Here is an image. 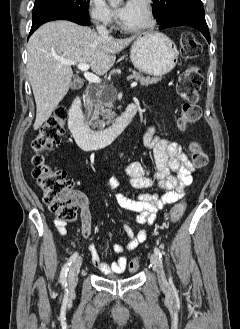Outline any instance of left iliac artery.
<instances>
[{"label": "left iliac artery", "mask_w": 240, "mask_h": 329, "mask_svg": "<svg viewBox=\"0 0 240 329\" xmlns=\"http://www.w3.org/2000/svg\"><path fill=\"white\" fill-rule=\"evenodd\" d=\"M154 252L159 256V258L162 257V253H161V251H160V249L158 247H155L154 248Z\"/></svg>", "instance_id": "obj_1"}]
</instances>
